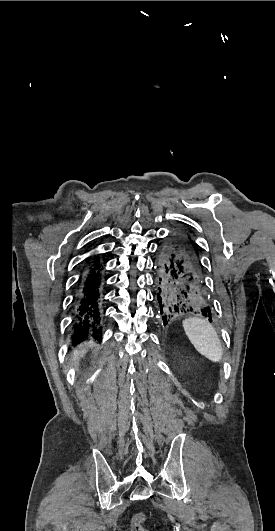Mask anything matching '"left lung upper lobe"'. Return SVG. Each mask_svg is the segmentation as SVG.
<instances>
[{
    "instance_id": "5c2ea615",
    "label": "left lung upper lobe",
    "mask_w": 275,
    "mask_h": 531,
    "mask_svg": "<svg viewBox=\"0 0 275 531\" xmlns=\"http://www.w3.org/2000/svg\"><path fill=\"white\" fill-rule=\"evenodd\" d=\"M191 242H192V240H191ZM192 244H193V247H194V249H195V245H194V243H193V242H192ZM195 251H196V250H195Z\"/></svg>"
}]
</instances>
